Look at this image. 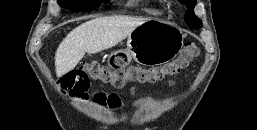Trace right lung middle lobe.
I'll return each mask as SVG.
<instances>
[{
  "mask_svg": "<svg viewBox=\"0 0 257 130\" xmlns=\"http://www.w3.org/2000/svg\"><path fill=\"white\" fill-rule=\"evenodd\" d=\"M102 0H58L60 6L73 11H92L98 8Z\"/></svg>",
  "mask_w": 257,
  "mask_h": 130,
  "instance_id": "dd1d6c3e",
  "label": "right lung middle lobe"
}]
</instances>
